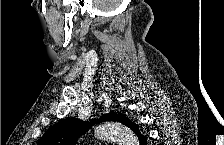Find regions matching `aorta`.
Here are the masks:
<instances>
[{"label":"aorta","mask_w":224,"mask_h":145,"mask_svg":"<svg viewBox=\"0 0 224 145\" xmlns=\"http://www.w3.org/2000/svg\"><path fill=\"white\" fill-rule=\"evenodd\" d=\"M95 137L104 141L115 142L119 145H138V139L126 126L117 122H106L95 128Z\"/></svg>","instance_id":"obj_1"}]
</instances>
